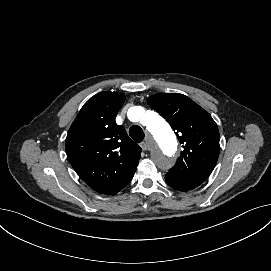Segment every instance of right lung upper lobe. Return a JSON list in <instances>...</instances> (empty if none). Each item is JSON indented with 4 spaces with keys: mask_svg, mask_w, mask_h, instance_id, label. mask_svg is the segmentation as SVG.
Listing matches in <instances>:
<instances>
[{
    "mask_svg": "<svg viewBox=\"0 0 271 271\" xmlns=\"http://www.w3.org/2000/svg\"><path fill=\"white\" fill-rule=\"evenodd\" d=\"M124 100V94L109 91L90 98L65 141L67 157L79 177L106 195L119 192L131 181L142 151L115 122Z\"/></svg>",
    "mask_w": 271,
    "mask_h": 271,
    "instance_id": "right-lung-upper-lobe-1",
    "label": "right lung upper lobe"
}]
</instances>
